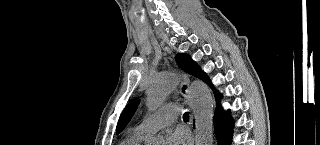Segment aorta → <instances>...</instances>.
Instances as JSON below:
<instances>
[{
    "label": "aorta",
    "mask_w": 320,
    "mask_h": 145,
    "mask_svg": "<svg viewBox=\"0 0 320 145\" xmlns=\"http://www.w3.org/2000/svg\"><path fill=\"white\" fill-rule=\"evenodd\" d=\"M178 75L174 72H163L154 76L147 89V106L151 110L160 107L176 87ZM191 107L195 118L196 145L213 143V99L207 85L194 81L190 88Z\"/></svg>",
    "instance_id": "762f6f07"
}]
</instances>
